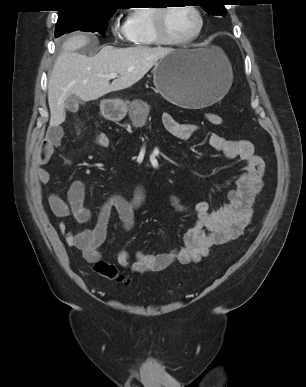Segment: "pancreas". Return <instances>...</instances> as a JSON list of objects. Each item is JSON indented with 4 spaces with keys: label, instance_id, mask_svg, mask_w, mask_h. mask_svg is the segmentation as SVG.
<instances>
[{
    "label": "pancreas",
    "instance_id": "obj_1",
    "mask_svg": "<svg viewBox=\"0 0 306 387\" xmlns=\"http://www.w3.org/2000/svg\"><path fill=\"white\" fill-rule=\"evenodd\" d=\"M132 105H139V106L142 107L141 108L142 112L140 114H141V121H142V123H144L145 120H146V116L148 114V105H147V103L143 102V101L136 100V101L132 102ZM138 114L139 113L137 111H131L130 116L132 117V119H135Z\"/></svg>",
    "mask_w": 306,
    "mask_h": 387
}]
</instances>
